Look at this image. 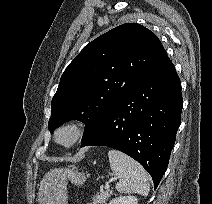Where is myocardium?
I'll return each mask as SVG.
<instances>
[{
	"mask_svg": "<svg viewBox=\"0 0 212 204\" xmlns=\"http://www.w3.org/2000/svg\"><path fill=\"white\" fill-rule=\"evenodd\" d=\"M83 133V128L79 122L67 121L56 128L54 139L58 145L70 148L80 141ZM63 135H67V139H63Z\"/></svg>",
	"mask_w": 212,
	"mask_h": 204,
	"instance_id": "1",
	"label": "myocardium"
}]
</instances>
